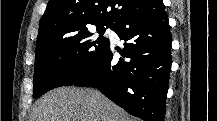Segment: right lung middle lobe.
Segmentation results:
<instances>
[{
    "instance_id": "dd1d6c3e",
    "label": "right lung middle lobe",
    "mask_w": 217,
    "mask_h": 121,
    "mask_svg": "<svg viewBox=\"0 0 217 121\" xmlns=\"http://www.w3.org/2000/svg\"><path fill=\"white\" fill-rule=\"evenodd\" d=\"M99 36L91 33L88 27L36 47L33 97L49 90L73 85L86 74L101 58L110 42L103 37L105 27L112 24H95Z\"/></svg>"
}]
</instances>
